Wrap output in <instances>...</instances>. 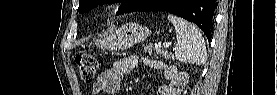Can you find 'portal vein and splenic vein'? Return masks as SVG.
Listing matches in <instances>:
<instances>
[{
  "instance_id": "18ae733b",
  "label": "portal vein and splenic vein",
  "mask_w": 277,
  "mask_h": 95,
  "mask_svg": "<svg viewBox=\"0 0 277 95\" xmlns=\"http://www.w3.org/2000/svg\"><path fill=\"white\" fill-rule=\"evenodd\" d=\"M169 46H170V43H168V42H164V43H163V47H164V48H168Z\"/></svg>"
}]
</instances>
